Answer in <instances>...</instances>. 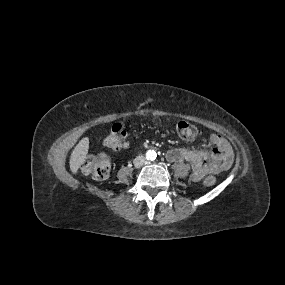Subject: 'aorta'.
<instances>
[{"label": "aorta", "mask_w": 285, "mask_h": 285, "mask_svg": "<svg viewBox=\"0 0 285 285\" xmlns=\"http://www.w3.org/2000/svg\"><path fill=\"white\" fill-rule=\"evenodd\" d=\"M157 157V153L154 150H148L146 152V158L147 160H155Z\"/></svg>", "instance_id": "obj_1"}]
</instances>
